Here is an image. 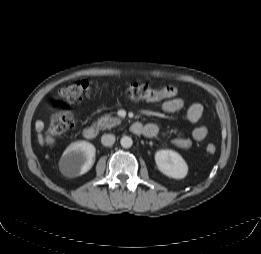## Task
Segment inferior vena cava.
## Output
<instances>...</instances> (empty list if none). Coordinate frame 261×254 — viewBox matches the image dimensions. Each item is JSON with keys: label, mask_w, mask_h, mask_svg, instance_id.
Here are the masks:
<instances>
[{"label": "inferior vena cava", "mask_w": 261, "mask_h": 254, "mask_svg": "<svg viewBox=\"0 0 261 254\" xmlns=\"http://www.w3.org/2000/svg\"><path fill=\"white\" fill-rule=\"evenodd\" d=\"M115 142V136L112 134H104L101 138V143L104 146H112Z\"/></svg>", "instance_id": "602c4592"}]
</instances>
